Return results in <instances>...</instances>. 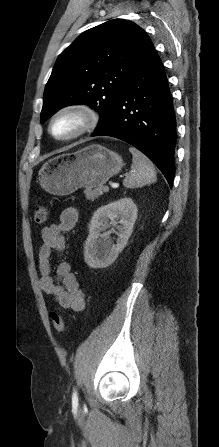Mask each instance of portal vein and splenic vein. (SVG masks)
I'll list each match as a JSON object with an SVG mask.
<instances>
[{
  "instance_id": "portal-vein-and-splenic-vein-1",
  "label": "portal vein and splenic vein",
  "mask_w": 219,
  "mask_h": 447,
  "mask_svg": "<svg viewBox=\"0 0 219 447\" xmlns=\"http://www.w3.org/2000/svg\"><path fill=\"white\" fill-rule=\"evenodd\" d=\"M102 190L105 191V192L108 191V190H109V186H108V185H104V186L102 187Z\"/></svg>"
}]
</instances>
